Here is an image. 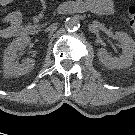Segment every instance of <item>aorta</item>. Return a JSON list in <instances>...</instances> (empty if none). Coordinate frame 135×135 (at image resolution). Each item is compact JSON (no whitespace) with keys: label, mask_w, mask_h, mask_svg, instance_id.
Segmentation results:
<instances>
[{"label":"aorta","mask_w":135,"mask_h":135,"mask_svg":"<svg viewBox=\"0 0 135 135\" xmlns=\"http://www.w3.org/2000/svg\"><path fill=\"white\" fill-rule=\"evenodd\" d=\"M80 27V21L78 18L76 17H70L67 18L65 21V28L70 31V32H74L77 31Z\"/></svg>","instance_id":"1"}]
</instances>
